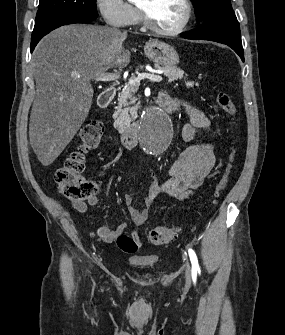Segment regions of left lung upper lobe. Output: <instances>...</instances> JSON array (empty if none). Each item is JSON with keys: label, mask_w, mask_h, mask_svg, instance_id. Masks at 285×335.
Wrapping results in <instances>:
<instances>
[{"label": "left lung upper lobe", "mask_w": 285, "mask_h": 335, "mask_svg": "<svg viewBox=\"0 0 285 335\" xmlns=\"http://www.w3.org/2000/svg\"><path fill=\"white\" fill-rule=\"evenodd\" d=\"M194 4L197 20L205 21L217 14H234L231 0H191Z\"/></svg>", "instance_id": "1"}]
</instances>
